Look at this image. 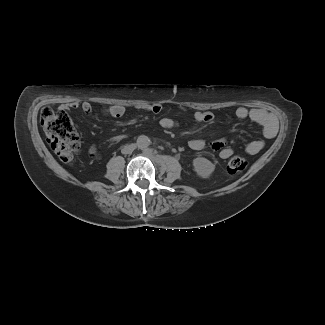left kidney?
Returning <instances> with one entry per match:
<instances>
[{
  "mask_svg": "<svg viewBox=\"0 0 325 325\" xmlns=\"http://www.w3.org/2000/svg\"><path fill=\"white\" fill-rule=\"evenodd\" d=\"M194 171L201 178H209L215 170V165L204 157H197L193 160Z\"/></svg>",
  "mask_w": 325,
  "mask_h": 325,
  "instance_id": "1",
  "label": "left kidney"
}]
</instances>
